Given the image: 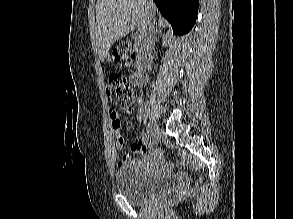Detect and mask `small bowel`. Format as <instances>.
I'll list each match as a JSON object with an SVG mask.
<instances>
[{
  "mask_svg": "<svg viewBox=\"0 0 293 219\" xmlns=\"http://www.w3.org/2000/svg\"><path fill=\"white\" fill-rule=\"evenodd\" d=\"M107 94L108 96H110L111 94L110 89H107ZM133 102L137 106V119L138 121H140L145 111V101L141 97L136 96L133 98ZM109 114H110V118L112 122V128L116 134L117 148L121 149L125 143V138L120 133V120L118 117V113L116 109L112 106V104H110ZM148 148H149V141L145 135H140L137 138L136 142L133 143V145L131 146V150L133 154H143L148 150ZM134 163L135 161L133 160V158L130 155H126L120 158L117 164L119 167H123L128 164H134Z\"/></svg>",
  "mask_w": 293,
  "mask_h": 219,
  "instance_id": "obj_1",
  "label": "small bowel"
}]
</instances>
